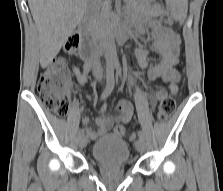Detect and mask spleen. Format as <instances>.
<instances>
[{"instance_id":"obj_1","label":"spleen","mask_w":223,"mask_h":191,"mask_svg":"<svg viewBox=\"0 0 223 191\" xmlns=\"http://www.w3.org/2000/svg\"><path fill=\"white\" fill-rule=\"evenodd\" d=\"M171 7L172 15L179 21H184L187 16L188 1L187 0H167Z\"/></svg>"}]
</instances>
